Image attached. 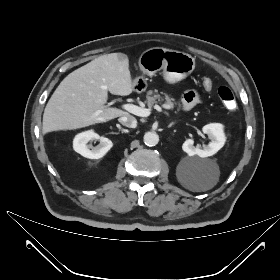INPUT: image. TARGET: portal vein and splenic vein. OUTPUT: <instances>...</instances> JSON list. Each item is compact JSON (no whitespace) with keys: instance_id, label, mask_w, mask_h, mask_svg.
I'll list each match as a JSON object with an SVG mask.
<instances>
[{"instance_id":"1","label":"portal vein and splenic vein","mask_w":280,"mask_h":280,"mask_svg":"<svg viewBox=\"0 0 280 280\" xmlns=\"http://www.w3.org/2000/svg\"><path fill=\"white\" fill-rule=\"evenodd\" d=\"M123 109L127 110L128 112L140 116V117H148L151 114V109L148 108H141L134 104H124ZM166 108V106H164ZM157 111L162 112V108L159 105H155L154 107ZM167 116H169L168 112H164Z\"/></svg>"}]
</instances>
